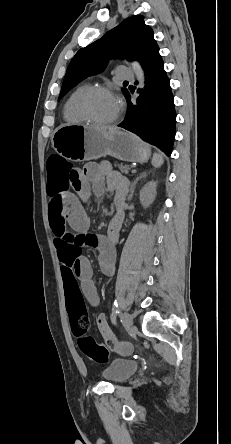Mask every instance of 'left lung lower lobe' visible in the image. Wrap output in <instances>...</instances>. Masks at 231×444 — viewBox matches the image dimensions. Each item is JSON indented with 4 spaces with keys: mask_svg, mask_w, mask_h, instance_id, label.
I'll use <instances>...</instances> for the list:
<instances>
[{
    "mask_svg": "<svg viewBox=\"0 0 231 444\" xmlns=\"http://www.w3.org/2000/svg\"><path fill=\"white\" fill-rule=\"evenodd\" d=\"M142 68L145 74V91L138 90L141 95L137 98V104H133L130 94L126 93L128 109L124 121L118 126L134 132L170 156L176 133V112L170 81L159 50Z\"/></svg>",
    "mask_w": 231,
    "mask_h": 444,
    "instance_id": "1",
    "label": "left lung lower lobe"
}]
</instances>
